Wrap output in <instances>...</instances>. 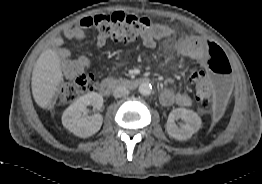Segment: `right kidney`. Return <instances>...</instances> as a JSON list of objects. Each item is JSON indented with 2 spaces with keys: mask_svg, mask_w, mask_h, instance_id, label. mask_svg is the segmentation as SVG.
I'll list each match as a JSON object with an SVG mask.
<instances>
[{
  "mask_svg": "<svg viewBox=\"0 0 262 184\" xmlns=\"http://www.w3.org/2000/svg\"><path fill=\"white\" fill-rule=\"evenodd\" d=\"M89 105L100 109L103 105V97L95 92L88 93L71 104L62 115L63 126L81 138L97 133L103 122V117L99 113L91 116L85 115L86 107Z\"/></svg>",
  "mask_w": 262,
  "mask_h": 184,
  "instance_id": "obj_1",
  "label": "right kidney"
}]
</instances>
